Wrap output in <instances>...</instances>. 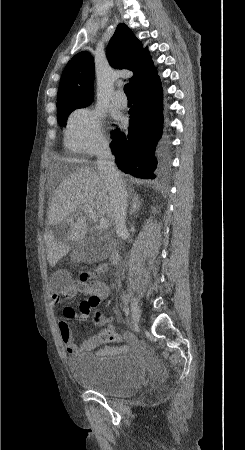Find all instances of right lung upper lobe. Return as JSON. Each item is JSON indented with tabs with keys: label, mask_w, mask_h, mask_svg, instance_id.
<instances>
[{
	"label": "right lung upper lobe",
	"mask_w": 245,
	"mask_h": 450,
	"mask_svg": "<svg viewBox=\"0 0 245 450\" xmlns=\"http://www.w3.org/2000/svg\"><path fill=\"white\" fill-rule=\"evenodd\" d=\"M107 57L111 66L134 73L131 88L154 69L147 48L125 24H119L110 40ZM94 62L87 52H80L70 60L60 79L57 106L65 103L90 104L94 98Z\"/></svg>",
	"instance_id": "obj_1"
}]
</instances>
